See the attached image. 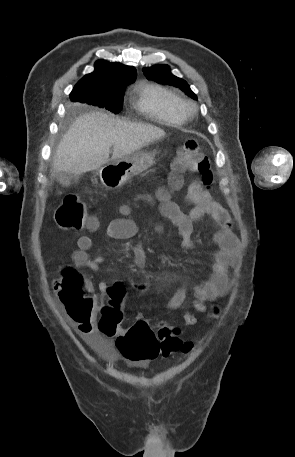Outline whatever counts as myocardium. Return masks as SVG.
Instances as JSON below:
<instances>
[{
  "instance_id": "myocardium-1",
  "label": "myocardium",
  "mask_w": 295,
  "mask_h": 457,
  "mask_svg": "<svg viewBox=\"0 0 295 457\" xmlns=\"http://www.w3.org/2000/svg\"><path fill=\"white\" fill-rule=\"evenodd\" d=\"M177 108L183 117H188L194 112L195 105L189 100L180 98L177 103Z\"/></svg>"
}]
</instances>
